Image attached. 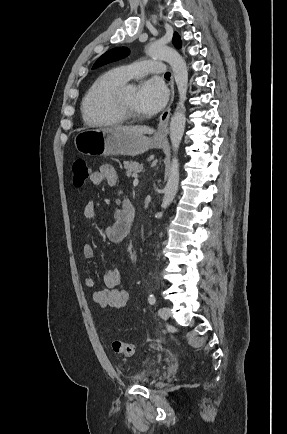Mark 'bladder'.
<instances>
[{
    "label": "bladder",
    "mask_w": 287,
    "mask_h": 434,
    "mask_svg": "<svg viewBox=\"0 0 287 434\" xmlns=\"http://www.w3.org/2000/svg\"><path fill=\"white\" fill-rule=\"evenodd\" d=\"M156 375V369L152 366L143 368L134 378L138 384H146Z\"/></svg>",
    "instance_id": "31cf9c89"
}]
</instances>
